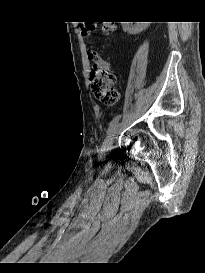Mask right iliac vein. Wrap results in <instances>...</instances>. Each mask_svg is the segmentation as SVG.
Instances as JSON below:
<instances>
[{
	"label": "right iliac vein",
	"mask_w": 205,
	"mask_h": 273,
	"mask_svg": "<svg viewBox=\"0 0 205 273\" xmlns=\"http://www.w3.org/2000/svg\"><path fill=\"white\" fill-rule=\"evenodd\" d=\"M119 129V124L116 125L111 131L110 133L108 134V136L106 137L104 143H103V150L104 151H109L112 147V144H113V141H114V138H115V135L117 133Z\"/></svg>",
	"instance_id": "right-iliac-vein-1"
}]
</instances>
